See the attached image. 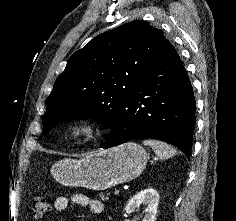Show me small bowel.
Instances as JSON below:
<instances>
[{"label":"small bowel","mask_w":236,"mask_h":221,"mask_svg":"<svg viewBox=\"0 0 236 221\" xmlns=\"http://www.w3.org/2000/svg\"><path fill=\"white\" fill-rule=\"evenodd\" d=\"M72 203L78 207H89L93 214H101L104 211V205L100 200H89L83 194H76L72 198ZM69 200L66 197H57L54 200V210L63 212L67 209Z\"/></svg>","instance_id":"c3829d8e"}]
</instances>
